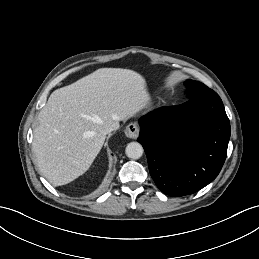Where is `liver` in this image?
Instances as JSON below:
<instances>
[{
	"label": "liver",
	"instance_id": "liver-1",
	"mask_svg": "<svg viewBox=\"0 0 259 259\" xmlns=\"http://www.w3.org/2000/svg\"><path fill=\"white\" fill-rule=\"evenodd\" d=\"M148 98L143 77L101 68L52 92L38 115L33 152L44 177L65 185L84 174L99 154L108 126L139 112Z\"/></svg>",
	"mask_w": 259,
	"mask_h": 259
}]
</instances>
